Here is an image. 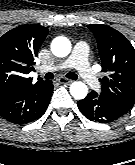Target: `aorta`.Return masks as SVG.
<instances>
[{
	"mask_svg": "<svg viewBox=\"0 0 135 165\" xmlns=\"http://www.w3.org/2000/svg\"><path fill=\"white\" fill-rule=\"evenodd\" d=\"M52 53L57 57H66L71 51V43L65 37L56 38L51 45ZM70 94L77 100L84 99L88 94V87L81 81L73 82Z\"/></svg>",
	"mask_w": 135,
	"mask_h": 165,
	"instance_id": "obj_1",
	"label": "aorta"
}]
</instances>
